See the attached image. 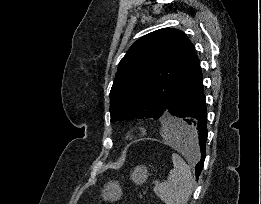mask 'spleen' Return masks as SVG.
I'll return each mask as SVG.
<instances>
[{
    "label": "spleen",
    "instance_id": "1",
    "mask_svg": "<svg viewBox=\"0 0 261 204\" xmlns=\"http://www.w3.org/2000/svg\"><path fill=\"white\" fill-rule=\"evenodd\" d=\"M184 122L169 117L162 129V137L166 144L183 151H187L185 145L179 141L174 133L175 125H183ZM195 135V132H194ZM192 142L196 156H199V146ZM174 168L170 171L166 182L156 185L154 192L165 204H187L193 192V176L190 167L176 153L172 154Z\"/></svg>",
    "mask_w": 261,
    "mask_h": 204
}]
</instances>
